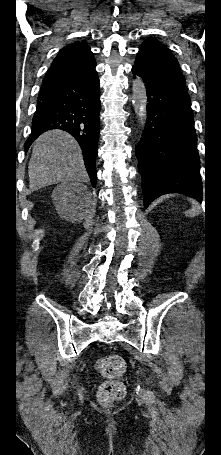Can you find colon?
Instances as JSON below:
<instances>
[{"instance_id":"obj_1","label":"colon","mask_w":221,"mask_h":455,"mask_svg":"<svg viewBox=\"0 0 221 455\" xmlns=\"http://www.w3.org/2000/svg\"><path fill=\"white\" fill-rule=\"evenodd\" d=\"M96 368L107 379L99 387V402L104 406H108L123 398L125 386L120 378L126 369L124 359L119 355H108L97 361Z\"/></svg>"}]
</instances>
